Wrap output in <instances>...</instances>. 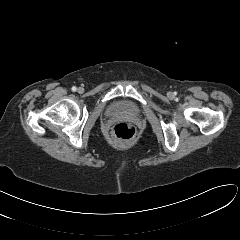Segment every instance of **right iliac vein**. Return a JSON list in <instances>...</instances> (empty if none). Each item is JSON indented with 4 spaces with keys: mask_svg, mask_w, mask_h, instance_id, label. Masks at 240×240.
<instances>
[{
    "mask_svg": "<svg viewBox=\"0 0 240 240\" xmlns=\"http://www.w3.org/2000/svg\"><path fill=\"white\" fill-rule=\"evenodd\" d=\"M77 91H78V93H83L84 89H83L82 87H79V88L77 89Z\"/></svg>",
    "mask_w": 240,
    "mask_h": 240,
    "instance_id": "right-iliac-vein-1",
    "label": "right iliac vein"
}]
</instances>
